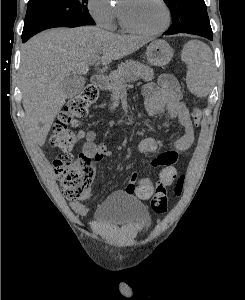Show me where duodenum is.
<instances>
[{"instance_id":"obj_1","label":"duodenum","mask_w":245,"mask_h":300,"mask_svg":"<svg viewBox=\"0 0 245 300\" xmlns=\"http://www.w3.org/2000/svg\"><path fill=\"white\" fill-rule=\"evenodd\" d=\"M91 82L97 89L102 90L106 87V79L103 75L97 74L92 76Z\"/></svg>"}]
</instances>
